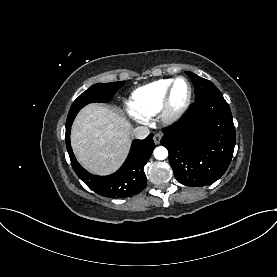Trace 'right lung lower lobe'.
Segmentation results:
<instances>
[{"instance_id": "1", "label": "right lung lower lobe", "mask_w": 277, "mask_h": 277, "mask_svg": "<svg viewBox=\"0 0 277 277\" xmlns=\"http://www.w3.org/2000/svg\"><path fill=\"white\" fill-rule=\"evenodd\" d=\"M71 126L66 127V147L77 176L95 193L110 198H126L141 192L147 184L144 166L154 148L153 134L144 140H134L121 168L109 176H96L87 172L76 160L70 144Z\"/></svg>"}]
</instances>
